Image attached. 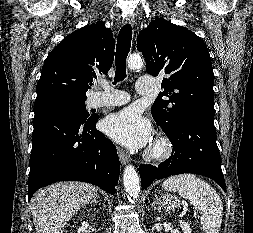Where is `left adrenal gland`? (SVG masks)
<instances>
[{"label": "left adrenal gland", "mask_w": 253, "mask_h": 233, "mask_svg": "<svg viewBox=\"0 0 253 233\" xmlns=\"http://www.w3.org/2000/svg\"><path fill=\"white\" fill-rule=\"evenodd\" d=\"M152 206L154 207L155 210H158L160 212V209L157 207V203L153 201Z\"/></svg>", "instance_id": "left-adrenal-gland-1"}]
</instances>
